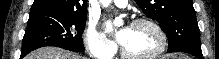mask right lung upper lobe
I'll use <instances>...</instances> for the list:
<instances>
[{"instance_id":"cb5924a9","label":"right lung upper lobe","mask_w":219,"mask_h":59,"mask_svg":"<svg viewBox=\"0 0 219 59\" xmlns=\"http://www.w3.org/2000/svg\"><path fill=\"white\" fill-rule=\"evenodd\" d=\"M87 15V0H34L30 13Z\"/></svg>"}]
</instances>
